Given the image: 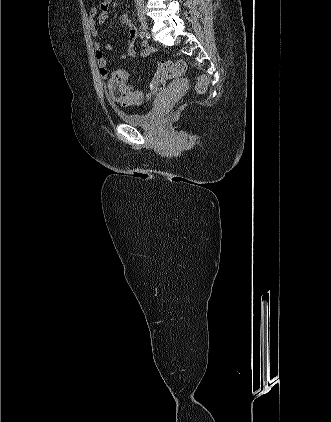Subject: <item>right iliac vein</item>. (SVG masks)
I'll use <instances>...</instances> for the list:
<instances>
[{"instance_id":"obj_1","label":"right iliac vein","mask_w":331,"mask_h":422,"mask_svg":"<svg viewBox=\"0 0 331 422\" xmlns=\"http://www.w3.org/2000/svg\"><path fill=\"white\" fill-rule=\"evenodd\" d=\"M139 21H140V24H141L142 28H143L146 32H148V31H149V27H148V22H147L146 17H145L144 15H140V16H139Z\"/></svg>"}]
</instances>
